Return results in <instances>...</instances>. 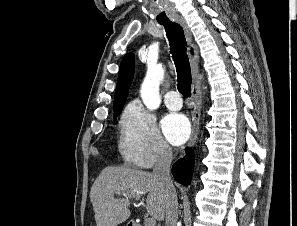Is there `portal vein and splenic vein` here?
Here are the masks:
<instances>
[{
  "label": "portal vein and splenic vein",
  "instance_id": "portal-vein-and-splenic-vein-1",
  "mask_svg": "<svg viewBox=\"0 0 297 226\" xmlns=\"http://www.w3.org/2000/svg\"><path fill=\"white\" fill-rule=\"evenodd\" d=\"M136 200H140V197H135ZM145 226H155L156 225V221L154 218L149 217L146 218L144 221Z\"/></svg>",
  "mask_w": 297,
  "mask_h": 226
}]
</instances>
